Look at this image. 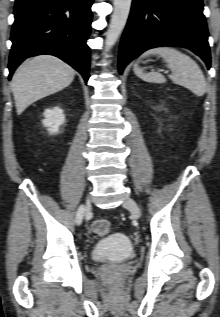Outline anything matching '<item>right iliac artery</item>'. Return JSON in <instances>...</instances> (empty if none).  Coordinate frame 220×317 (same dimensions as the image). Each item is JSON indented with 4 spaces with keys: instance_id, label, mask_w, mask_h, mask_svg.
<instances>
[{
    "instance_id": "obj_1",
    "label": "right iliac artery",
    "mask_w": 220,
    "mask_h": 317,
    "mask_svg": "<svg viewBox=\"0 0 220 317\" xmlns=\"http://www.w3.org/2000/svg\"><path fill=\"white\" fill-rule=\"evenodd\" d=\"M83 214H84V206L81 205L77 211V214H76V223L77 224H80L81 221H82V218H83Z\"/></svg>"
}]
</instances>
